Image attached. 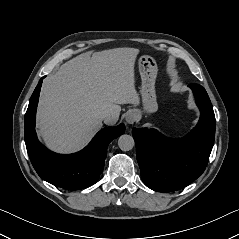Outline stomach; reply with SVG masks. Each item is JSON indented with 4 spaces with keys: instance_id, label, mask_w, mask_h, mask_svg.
Returning <instances> with one entry per match:
<instances>
[{
    "instance_id": "obj_1",
    "label": "stomach",
    "mask_w": 239,
    "mask_h": 239,
    "mask_svg": "<svg viewBox=\"0 0 239 239\" xmlns=\"http://www.w3.org/2000/svg\"><path fill=\"white\" fill-rule=\"evenodd\" d=\"M138 66L142 81L140 93L143 111L136 109V112L139 115H142V112L150 115L158 110L155 90L158 68L155 59L149 55L141 56L138 60Z\"/></svg>"
}]
</instances>
